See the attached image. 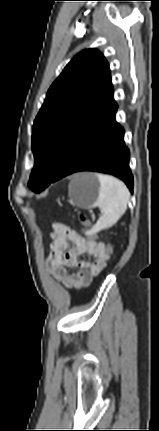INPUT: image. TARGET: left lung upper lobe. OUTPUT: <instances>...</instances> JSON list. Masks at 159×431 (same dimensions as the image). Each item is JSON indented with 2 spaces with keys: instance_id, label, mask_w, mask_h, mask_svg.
Segmentation results:
<instances>
[{
  "instance_id": "5c2ea615",
  "label": "left lung upper lobe",
  "mask_w": 159,
  "mask_h": 431,
  "mask_svg": "<svg viewBox=\"0 0 159 431\" xmlns=\"http://www.w3.org/2000/svg\"><path fill=\"white\" fill-rule=\"evenodd\" d=\"M109 65L95 49L77 54L53 82L34 121L35 166L29 187L42 191L59 171L76 134L112 103Z\"/></svg>"
}]
</instances>
